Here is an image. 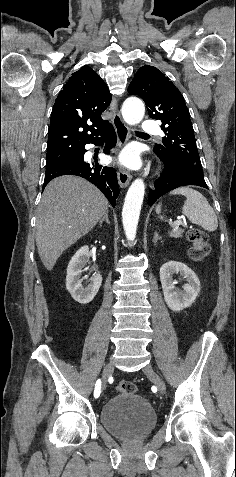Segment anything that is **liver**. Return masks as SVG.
<instances>
[{
	"label": "liver",
	"instance_id": "6515ba94",
	"mask_svg": "<svg viewBox=\"0 0 236 477\" xmlns=\"http://www.w3.org/2000/svg\"><path fill=\"white\" fill-rule=\"evenodd\" d=\"M108 210V200L94 185L61 176L46 186L37 208L36 246L47 270L63 251L88 234Z\"/></svg>",
	"mask_w": 236,
	"mask_h": 477
}]
</instances>
